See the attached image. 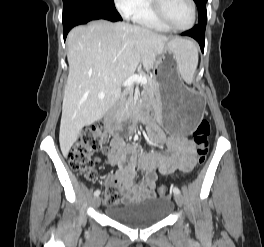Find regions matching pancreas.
Segmentation results:
<instances>
[{"label":"pancreas","mask_w":264,"mask_h":247,"mask_svg":"<svg viewBox=\"0 0 264 247\" xmlns=\"http://www.w3.org/2000/svg\"><path fill=\"white\" fill-rule=\"evenodd\" d=\"M147 78V83L144 84V89L149 96L151 102H155L159 97V88L156 80L149 77L147 74H142ZM117 117L123 121L129 118L135 109V98L133 88L130 87L122 93L118 100Z\"/></svg>","instance_id":"cf45deb5"}]
</instances>
